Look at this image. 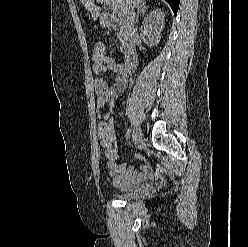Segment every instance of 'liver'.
I'll list each match as a JSON object with an SVG mask.
<instances>
[{
	"mask_svg": "<svg viewBox=\"0 0 248 247\" xmlns=\"http://www.w3.org/2000/svg\"><path fill=\"white\" fill-rule=\"evenodd\" d=\"M85 8L91 13L93 20L95 21L101 16V8L94 4V0H80ZM110 5L115 7L122 15L126 14L128 5L132 4L134 7H138L144 0H108Z\"/></svg>",
	"mask_w": 248,
	"mask_h": 247,
	"instance_id": "6515ba94",
	"label": "liver"
}]
</instances>
